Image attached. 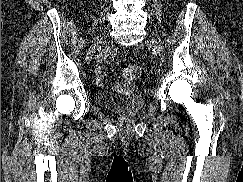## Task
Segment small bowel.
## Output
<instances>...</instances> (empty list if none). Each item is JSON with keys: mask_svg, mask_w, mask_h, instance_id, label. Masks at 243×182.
<instances>
[{"mask_svg": "<svg viewBox=\"0 0 243 182\" xmlns=\"http://www.w3.org/2000/svg\"><path fill=\"white\" fill-rule=\"evenodd\" d=\"M114 55V50L112 48L106 49L104 52L100 54V56L97 59V65L94 70V76H95V81L97 84H101L103 81V75H102V70H103V65L104 62L112 57ZM119 88L122 90H127L129 88V83L128 82H122L119 85Z\"/></svg>", "mask_w": 243, "mask_h": 182, "instance_id": "1", "label": "small bowel"}]
</instances>
